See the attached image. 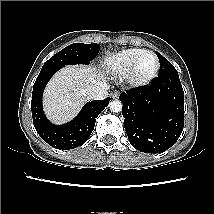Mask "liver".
<instances>
[{"instance_id":"1","label":"liver","mask_w":214,"mask_h":214,"mask_svg":"<svg viewBox=\"0 0 214 214\" xmlns=\"http://www.w3.org/2000/svg\"><path fill=\"white\" fill-rule=\"evenodd\" d=\"M105 83V77L91 66H67L48 83L44 93V110L55 123L72 119L86 101V89Z\"/></svg>"}]
</instances>
